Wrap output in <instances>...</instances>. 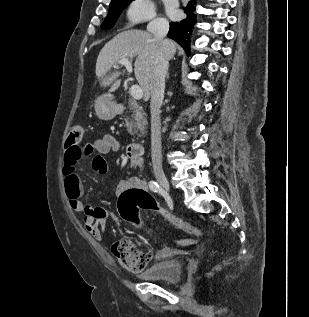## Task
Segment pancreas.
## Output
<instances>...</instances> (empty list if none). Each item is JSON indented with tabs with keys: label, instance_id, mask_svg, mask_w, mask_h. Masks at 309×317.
Wrapping results in <instances>:
<instances>
[{
	"label": "pancreas",
	"instance_id": "1",
	"mask_svg": "<svg viewBox=\"0 0 309 317\" xmlns=\"http://www.w3.org/2000/svg\"><path fill=\"white\" fill-rule=\"evenodd\" d=\"M128 109L131 112V116L125 118L128 132L136 134L138 131L145 130L147 120L142 107L134 99H130Z\"/></svg>",
	"mask_w": 309,
	"mask_h": 317
}]
</instances>
